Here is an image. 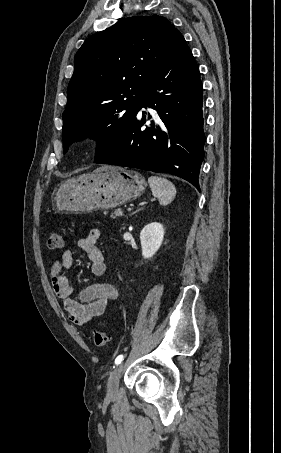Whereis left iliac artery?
I'll return each instance as SVG.
<instances>
[{"instance_id":"1","label":"left iliac artery","mask_w":281,"mask_h":453,"mask_svg":"<svg viewBox=\"0 0 281 453\" xmlns=\"http://www.w3.org/2000/svg\"><path fill=\"white\" fill-rule=\"evenodd\" d=\"M123 360V355H119L116 359H115V364H120L121 361Z\"/></svg>"}]
</instances>
